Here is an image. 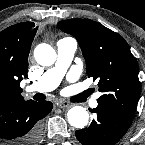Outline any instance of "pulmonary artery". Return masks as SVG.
I'll return each instance as SVG.
<instances>
[{"label": "pulmonary artery", "instance_id": "obj_1", "mask_svg": "<svg viewBox=\"0 0 145 145\" xmlns=\"http://www.w3.org/2000/svg\"><path fill=\"white\" fill-rule=\"evenodd\" d=\"M77 49V42L74 38H63L57 42V61L51 69L47 70L43 76L34 84L26 87L27 93L32 92H49L55 89L64 77ZM97 94L91 101V107L98 105Z\"/></svg>", "mask_w": 145, "mask_h": 145}]
</instances>
